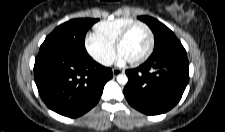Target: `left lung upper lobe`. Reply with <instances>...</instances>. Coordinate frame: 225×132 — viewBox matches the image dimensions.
<instances>
[{"label": "left lung upper lobe", "instance_id": "obj_1", "mask_svg": "<svg viewBox=\"0 0 225 132\" xmlns=\"http://www.w3.org/2000/svg\"><path fill=\"white\" fill-rule=\"evenodd\" d=\"M138 18L141 21L145 22L154 33V51L149 58H154L171 51L184 49L181 42L177 39L174 33L164 24H162L155 18L148 16H140Z\"/></svg>", "mask_w": 225, "mask_h": 132}]
</instances>
